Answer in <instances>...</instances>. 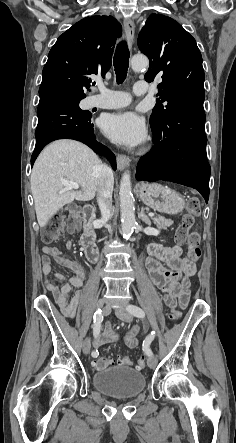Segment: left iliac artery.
Masks as SVG:
<instances>
[{
  "label": "left iliac artery",
  "instance_id": "44dca946",
  "mask_svg": "<svg viewBox=\"0 0 236 443\" xmlns=\"http://www.w3.org/2000/svg\"><path fill=\"white\" fill-rule=\"evenodd\" d=\"M126 309H127V311H128L130 314H132V315L135 316V317H138V318H144V317H145V313H144V311H143L140 307H138V306H136V305H132V304H130V305H128V306L126 307ZM154 337H155V331H152V332H151V333L145 338V340L143 341V351H144L148 356H151V355H152V351H151V349H150V344H151V342L153 341Z\"/></svg>",
  "mask_w": 236,
  "mask_h": 443
}]
</instances>
